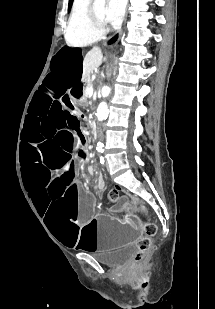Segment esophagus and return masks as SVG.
<instances>
[{"label":"esophagus","mask_w":215,"mask_h":309,"mask_svg":"<svg viewBox=\"0 0 215 309\" xmlns=\"http://www.w3.org/2000/svg\"><path fill=\"white\" fill-rule=\"evenodd\" d=\"M122 29L119 27L117 31L104 43L105 47H112L115 45L121 38Z\"/></svg>","instance_id":"34e87169"}]
</instances>
